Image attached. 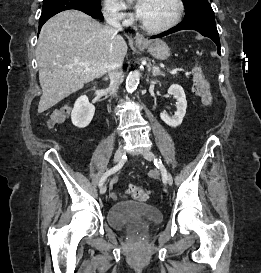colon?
<instances>
[{
  "mask_svg": "<svg viewBox=\"0 0 261 273\" xmlns=\"http://www.w3.org/2000/svg\"><path fill=\"white\" fill-rule=\"evenodd\" d=\"M194 77V91L198 95L203 104L210 106L212 104L213 98L209 90V84L204 77L203 70L199 65H196L193 70ZM128 193L137 201H147L149 199V192L139 186H130L128 188Z\"/></svg>",
  "mask_w": 261,
  "mask_h": 273,
  "instance_id": "5ec220e1",
  "label": "colon"
}]
</instances>
